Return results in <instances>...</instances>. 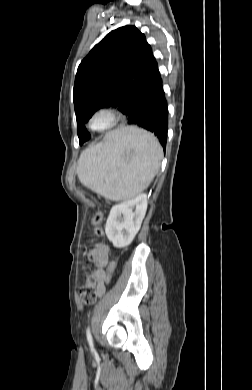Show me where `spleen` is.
<instances>
[{"instance_id":"spleen-1","label":"spleen","mask_w":252,"mask_h":390,"mask_svg":"<svg viewBox=\"0 0 252 390\" xmlns=\"http://www.w3.org/2000/svg\"><path fill=\"white\" fill-rule=\"evenodd\" d=\"M163 156L158 140L145 130L124 127L82 152L77 167L80 182L113 201L129 200L145 190Z\"/></svg>"}]
</instances>
